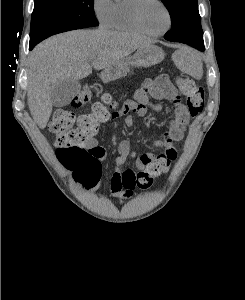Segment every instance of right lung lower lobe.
Wrapping results in <instances>:
<instances>
[{
    "label": "right lung lower lobe",
    "mask_w": 245,
    "mask_h": 300,
    "mask_svg": "<svg viewBox=\"0 0 245 300\" xmlns=\"http://www.w3.org/2000/svg\"><path fill=\"white\" fill-rule=\"evenodd\" d=\"M34 46H35V45H33V44H30V48H29V49L31 50V49H32Z\"/></svg>",
    "instance_id": "right-lung-lower-lobe-1"
}]
</instances>
